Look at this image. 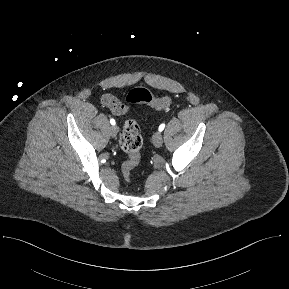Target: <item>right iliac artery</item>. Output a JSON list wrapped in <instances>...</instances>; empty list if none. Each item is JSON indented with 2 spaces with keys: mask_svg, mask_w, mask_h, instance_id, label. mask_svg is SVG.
<instances>
[{
  "mask_svg": "<svg viewBox=\"0 0 289 289\" xmlns=\"http://www.w3.org/2000/svg\"><path fill=\"white\" fill-rule=\"evenodd\" d=\"M110 123H111L112 125H115V124H116V122H115V120H114L113 118L110 119Z\"/></svg>",
  "mask_w": 289,
  "mask_h": 289,
  "instance_id": "1",
  "label": "right iliac artery"
}]
</instances>
